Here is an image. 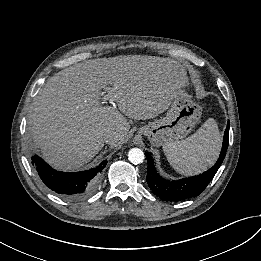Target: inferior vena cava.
I'll use <instances>...</instances> for the list:
<instances>
[{"label": "inferior vena cava", "instance_id": "602c4592", "mask_svg": "<svg viewBox=\"0 0 261 261\" xmlns=\"http://www.w3.org/2000/svg\"><path fill=\"white\" fill-rule=\"evenodd\" d=\"M116 133L110 130H106L104 133V140L106 143H109L111 140L115 139Z\"/></svg>", "mask_w": 261, "mask_h": 261}]
</instances>
